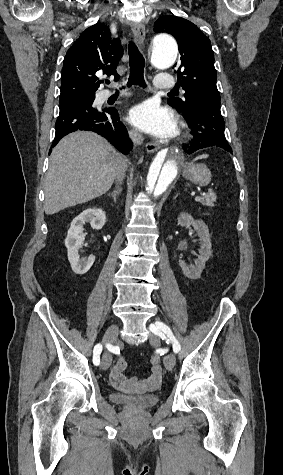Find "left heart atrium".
<instances>
[{"mask_svg": "<svg viewBox=\"0 0 283 475\" xmlns=\"http://www.w3.org/2000/svg\"><path fill=\"white\" fill-rule=\"evenodd\" d=\"M128 118L136 130L157 138L167 139L177 133L174 113L154 100H146L134 106Z\"/></svg>", "mask_w": 283, "mask_h": 475, "instance_id": "1", "label": "left heart atrium"}]
</instances>
